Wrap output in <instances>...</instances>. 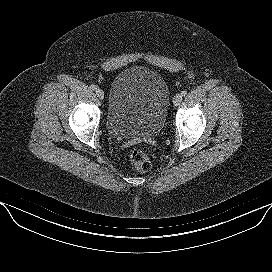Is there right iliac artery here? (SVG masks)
<instances>
[{"mask_svg": "<svg viewBox=\"0 0 272 272\" xmlns=\"http://www.w3.org/2000/svg\"><path fill=\"white\" fill-rule=\"evenodd\" d=\"M90 89H91V90H96V89H97V86L94 85V84H92V85L90 86Z\"/></svg>", "mask_w": 272, "mask_h": 272, "instance_id": "obj_1", "label": "right iliac artery"}]
</instances>
